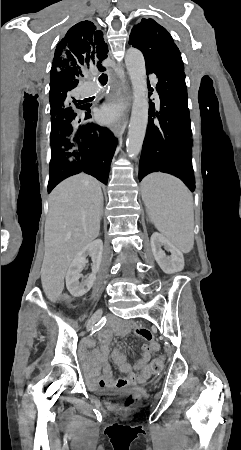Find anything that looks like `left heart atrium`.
<instances>
[{
	"label": "left heart atrium",
	"mask_w": 241,
	"mask_h": 450,
	"mask_svg": "<svg viewBox=\"0 0 241 450\" xmlns=\"http://www.w3.org/2000/svg\"><path fill=\"white\" fill-rule=\"evenodd\" d=\"M120 112L121 108L119 106H106L100 113L101 121L105 124H109L119 117Z\"/></svg>",
	"instance_id": "obj_1"
}]
</instances>
